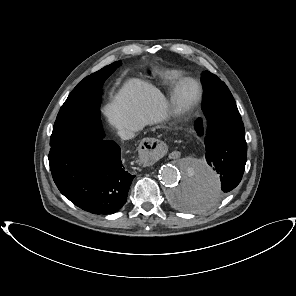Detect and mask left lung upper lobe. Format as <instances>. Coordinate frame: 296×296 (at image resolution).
I'll return each mask as SVG.
<instances>
[{
  "mask_svg": "<svg viewBox=\"0 0 296 296\" xmlns=\"http://www.w3.org/2000/svg\"><path fill=\"white\" fill-rule=\"evenodd\" d=\"M202 84L204 88V101L211 98L232 97L226 84L208 71L202 74Z\"/></svg>",
  "mask_w": 296,
  "mask_h": 296,
  "instance_id": "obj_1",
  "label": "left lung upper lobe"
}]
</instances>
